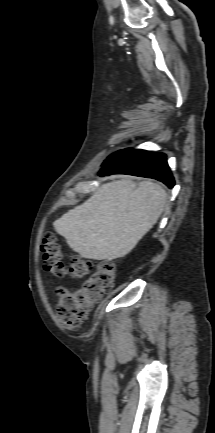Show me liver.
I'll return each mask as SVG.
<instances>
[{
    "instance_id": "1",
    "label": "liver",
    "mask_w": 215,
    "mask_h": 433,
    "mask_svg": "<svg viewBox=\"0 0 215 433\" xmlns=\"http://www.w3.org/2000/svg\"><path fill=\"white\" fill-rule=\"evenodd\" d=\"M167 202L165 190L152 181L131 179L101 186L82 205L53 226L81 257L114 260L127 255L156 224Z\"/></svg>"
}]
</instances>
